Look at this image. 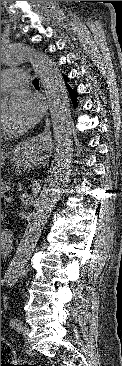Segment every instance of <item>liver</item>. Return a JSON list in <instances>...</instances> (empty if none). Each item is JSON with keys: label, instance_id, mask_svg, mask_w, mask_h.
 I'll use <instances>...</instances> for the list:
<instances>
[{"label": "liver", "instance_id": "liver-1", "mask_svg": "<svg viewBox=\"0 0 122 366\" xmlns=\"http://www.w3.org/2000/svg\"><path fill=\"white\" fill-rule=\"evenodd\" d=\"M6 156H7L6 153L3 150H1V168L4 165V161L6 159Z\"/></svg>", "mask_w": 122, "mask_h": 366}]
</instances>
